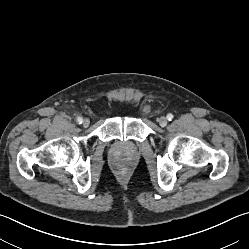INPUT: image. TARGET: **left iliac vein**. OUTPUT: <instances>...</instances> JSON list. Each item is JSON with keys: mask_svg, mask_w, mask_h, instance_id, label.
Returning <instances> with one entry per match:
<instances>
[{"mask_svg": "<svg viewBox=\"0 0 249 249\" xmlns=\"http://www.w3.org/2000/svg\"><path fill=\"white\" fill-rule=\"evenodd\" d=\"M158 123H159L160 126L165 127L167 125V118L164 117V116H161L158 119Z\"/></svg>", "mask_w": 249, "mask_h": 249, "instance_id": "obj_1", "label": "left iliac vein"}]
</instances>
